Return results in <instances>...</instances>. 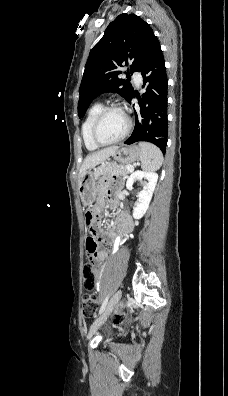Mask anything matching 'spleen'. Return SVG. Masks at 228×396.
I'll use <instances>...</instances> for the list:
<instances>
[{"label":"spleen","instance_id":"1","mask_svg":"<svg viewBox=\"0 0 228 396\" xmlns=\"http://www.w3.org/2000/svg\"><path fill=\"white\" fill-rule=\"evenodd\" d=\"M141 149V168L145 171L158 170L163 162V155L160 149L149 142H139Z\"/></svg>","mask_w":228,"mask_h":396}]
</instances>
